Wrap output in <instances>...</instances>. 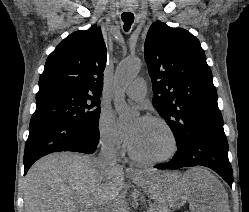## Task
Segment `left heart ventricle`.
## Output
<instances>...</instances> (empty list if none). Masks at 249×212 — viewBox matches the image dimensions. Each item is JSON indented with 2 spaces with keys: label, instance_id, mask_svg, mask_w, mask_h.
<instances>
[{
  "label": "left heart ventricle",
  "instance_id": "obj_1",
  "mask_svg": "<svg viewBox=\"0 0 249 212\" xmlns=\"http://www.w3.org/2000/svg\"><path fill=\"white\" fill-rule=\"evenodd\" d=\"M131 128L137 131V141L132 151L140 157L157 159L169 155L172 151V139L160 124L136 119Z\"/></svg>",
  "mask_w": 249,
  "mask_h": 212
}]
</instances>
